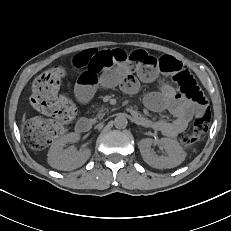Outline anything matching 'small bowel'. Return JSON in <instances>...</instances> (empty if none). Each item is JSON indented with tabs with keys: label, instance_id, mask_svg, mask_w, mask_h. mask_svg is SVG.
I'll use <instances>...</instances> for the list:
<instances>
[{
	"label": "small bowel",
	"instance_id": "obj_1",
	"mask_svg": "<svg viewBox=\"0 0 231 231\" xmlns=\"http://www.w3.org/2000/svg\"><path fill=\"white\" fill-rule=\"evenodd\" d=\"M128 53L122 49H92L77 54L72 60L74 67L82 69L74 87L77 99L82 103L88 102L98 87L119 86L127 93H134L138 89L139 81L151 82L160 74L175 77L183 73L195 81L190 69L173 57L164 56L157 59L141 50V59L134 61L127 58ZM195 84L199 94L204 97L196 81ZM145 104L152 111L168 110L174 119L152 120L135 113L136 119L170 137L183 132L193 117L199 116L204 110L200 101L180 94L167 85L160 91L147 94Z\"/></svg>",
	"mask_w": 231,
	"mask_h": 231
}]
</instances>
